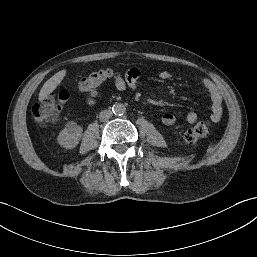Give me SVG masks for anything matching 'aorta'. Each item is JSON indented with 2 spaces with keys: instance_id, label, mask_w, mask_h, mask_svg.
<instances>
[{
  "instance_id": "1",
  "label": "aorta",
  "mask_w": 257,
  "mask_h": 257,
  "mask_svg": "<svg viewBox=\"0 0 257 257\" xmlns=\"http://www.w3.org/2000/svg\"><path fill=\"white\" fill-rule=\"evenodd\" d=\"M112 111L115 115H123L126 111V107L122 103H115L112 107Z\"/></svg>"
}]
</instances>
